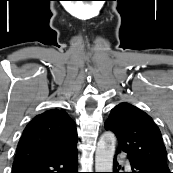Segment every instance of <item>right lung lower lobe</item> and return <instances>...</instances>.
<instances>
[{"label": "right lung lower lobe", "instance_id": "obj_1", "mask_svg": "<svg viewBox=\"0 0 173 173\" xmlns=\"http://www.w3.org/2000/svg\"><path fill=\"white\" fill-rule=\"evenodd\" d=\"M77 148L65 153L13 163L12 173H78Z\"/></svg>", "mask_w": 173, "mask_h": 173}]
</instances>
